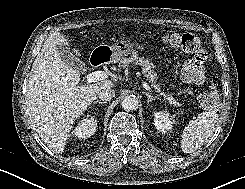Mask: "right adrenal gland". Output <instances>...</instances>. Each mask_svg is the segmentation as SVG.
Returning <instances> with one entry per match:
<instances>
[{
  "instance_id": "obj_1",
  "label": "right adrenal gland",
  "mask_w": 245,
  "mask_h": 189,
  "mask_svg": "<svg viewBox=\"0 0 245 189\" xmlns=\"http://www.w3.org/2000/svg\"><path fill=\"white\" fill-rule=\"evenodd\" d=\"M105 103H106V101H98V100L93 102V104H101V105H103Z\"/></svg>"
}]
</instances>
